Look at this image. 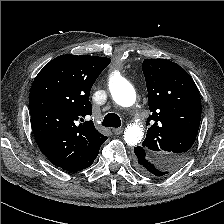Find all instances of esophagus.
I'll return each mask as SVG.
<instances>
[{
  "mask_svg": "<svg viewBox=\"0 0 224 224\" xmlns=\"http://www.w3.org/2000/svg\"><path fill=\"white\" fill-rule=\"evenodd\" d=\"M112 131L115 135H119L123 132V128H115Z\"/></svg>",
  "mask_w": 224,
  "mask_h": 224,
  "instance_id": "esophagus-1",
  "label": "esophagus"
}]
</instances>
